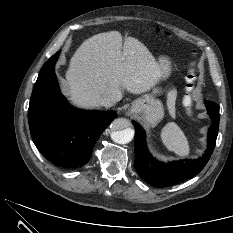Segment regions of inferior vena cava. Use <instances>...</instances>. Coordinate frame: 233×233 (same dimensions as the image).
<instances>
[{
	"instance_id": "obj_1",
	"label": "inferior vena cava",
	"mask_w": 233,
	"mask_h": 233,
	"mask_svg": "<svg viewBox=\"0 0 233 233\" xmlns=\"http://www.w3.org/2000/svg\"><path fill=\"white\" fill-rule=\"evenodd\" d=\"M115 100L113 97L111 96H106V97H103L101 100H100V105L101 106H104V107H112L115 105Z\"/></svg>"
}]
</instances>
